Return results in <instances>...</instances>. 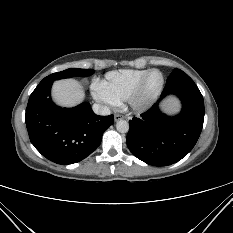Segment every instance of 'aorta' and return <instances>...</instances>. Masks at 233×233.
Listing matches in <instances>:
<instances>
[{"instance_id":"aorta-1","label":"aorta","mask_w":233,"mask_h":233,"mask_svg":"<svg viewBox=\"0 0 233 233\" xmlns=\"http://www.w3.org/2000/svg\"><path fill=\"white\" fill-rule=\"evenodd\" d=\"M116 129L118 132L120 133H127L128 130H129V124L127 121L125 120H119L117 123H116Z\"/></svg>"}]
</instances>
